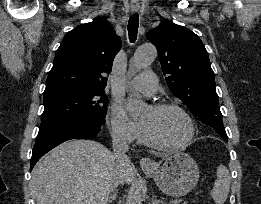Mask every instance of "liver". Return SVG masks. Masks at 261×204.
Here are the masks:
<instances>
[{
  "label": "liver",
  "instance_id": "6515ba94",
  "mask_svg": "<svg viewBox=\"0 0 261 204\" xmlns=\"http://www.w3.org/2000/svg\"><path fill=\"white\" fill-rule=\"evenodd\" d=\"M113 154L92 140L67 141L39 160L32 171L37 204H107L111 191ZM135 168L121 170L122 183H131Z\"/></svg>",
  "mask_w": 261,
  "mask_h": 204
}]
</instances>
